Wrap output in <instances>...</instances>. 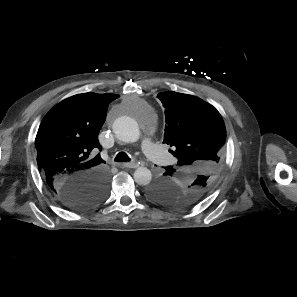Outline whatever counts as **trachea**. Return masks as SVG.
Returning <instances> with one entry per match:
<instances>
[{
    "label": "trachea",
    "instance_id": "trachea-1",
    "mask_svg": "<svg viewBox=\"0 0 297 297\" xmlns=\"http://www.w3.org/2000/svg\"><path fill=\"white\" fill-rule=\"evenodd\" d=\"M130 160V157L125 152H119L114 159L116 162H128Z\"/></svg>",
    "mask_w": 297,
    "mask_h": 297
}]
</instances>
